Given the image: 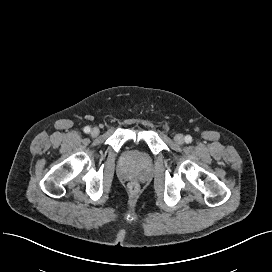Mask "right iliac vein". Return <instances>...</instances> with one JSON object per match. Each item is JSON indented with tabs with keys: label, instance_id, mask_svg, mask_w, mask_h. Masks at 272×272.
<instances>
[{
	"label": "right iliac vein",
	"instance_id": "right-iliac-vein-1",
	"mask_svg": "<svg viewBox=\"0 0 272 272\" xmlns=\"http://www.w3.org/2000/svg\"><path fill=\"white\" fill-rule=\"evenodd\" d=\"M99 129L97 127H94L92 130H91V136L93 137H96L99 135Z\"/></svg>",
	"mask_w": 272,
	"mask_h": 272
}]
</instances>
